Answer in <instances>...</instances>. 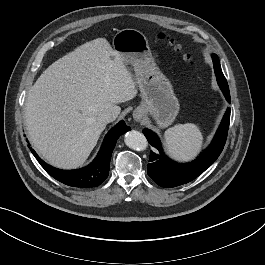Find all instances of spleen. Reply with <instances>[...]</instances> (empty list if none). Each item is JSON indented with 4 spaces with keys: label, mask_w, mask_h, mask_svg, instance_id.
<instances>
[{
    "label": "spleen",
    "mask_w": 265,
    "mask_h": 265,
    "mask_svg": "<svg viewBox=\"0 0 265 265\" xmlns=\"http://www.w3.org/2000/svg\"><path fill=\"white\" fill-rule=\"evenodd\" d=\"M165 144L170 155L180 161L194 159L202 149L203 134L196 124H178L164 133Z\"/></svg>",
    "instance_id": "spleen-1"
}]
</instances>
